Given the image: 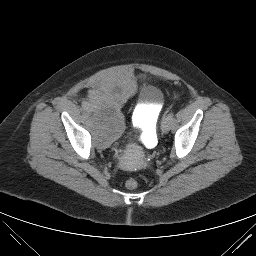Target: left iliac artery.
Returning <instances> with one entry per match:
<instances>
[{
	"instance_id": "44dca946",
	"label": "left iliac artery",
	"mask_w": 256,
	"mask_h": 256,
	"mask_svg": "<svg viewBox=\"0 0 256 256\" xmlns=\"http://www.w3.org/2000/svg\"><path fill=\"white\" fill-rule=\"evenodd\" d=\"M173 116H174V113L173 112H170L168 115H167V118L169 120H172L173 119Z\"/></svg>"
}]
</instances>
